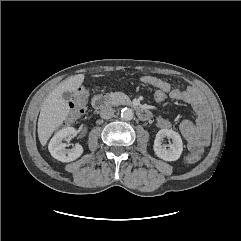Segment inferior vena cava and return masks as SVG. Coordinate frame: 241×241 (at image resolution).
<instances>
[{
	"instance_id": "inferior-vena-cava-1",
	"label": "inferior vena cava",
	"mask_w": 241,
	"mask_h": 241,
	"mask_svg": "<svg viewBox=\"0 0 241 241\" xmlns=\"http://www.w3.org/2000/svg\"><path fill=\"white\" fill-rule=\"evenodd\" d=\"M100 117L103 119H110L114 115V109L111 106H105L100 110Z\"/></svg>"
}]
</instances>
